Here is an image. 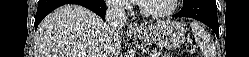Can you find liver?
Listing matches in <instances>:
<instances>
[{
    "mask_svg": "<svg viewBox=\"0 0 249 57\" xmlns=\"http://www.w3.org/2000/svg\"><path fill=\"white\" fill-rule=\"evenodd\" d=\"M122 33L110 37L104 21L89 9L67 4L40 23L35 57H118Z\"/></svg>",
    "mask_w": 249,
    "mask_h": 57,
    "instance_id": "6515ba94",
    "label": "liver"
}]
</instances>
